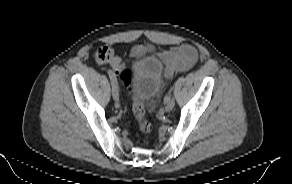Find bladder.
Wrapping results in <instances>:
<instances>
[{
  "label": "bladder",
  "instance_id": "31cf9c89",
  "mask_svg": "<svg viewBox=\"0 0 292 184\" xmlns=\"http://www.w3.org/2000/svg\"><path fill=\"white\" fill-rule=\"evenodd\" d=\"M162 67L155 58H142L130 68L128 88L142 102H151L161 89Z\"/></svg>",
  "mask_w": 292,
  "mask_h": 184
}]
</instances>
